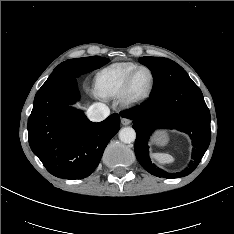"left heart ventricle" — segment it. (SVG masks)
I'll return each instance as SVG.
<instances>
[{"label":"left heart ventricle","instance_id":"obj_1","mask_svg":"<svg viewBox=\"0 0 234 234\" xmlns=\"http://www.w3.org/2000/svg\"><path fill=\"white\" fill-rule=\"evenodd\" d=\"M151 82L150 73L147 70H140L135 75L132 82V94L141 95L147 91Z\"/></svg>","mask_w":234,"mask_h":234}]
</instances>
